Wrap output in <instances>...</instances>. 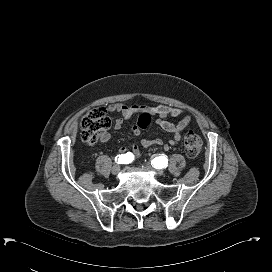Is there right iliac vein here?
Returning a JSON list of instances; mask_svg holds the SVG:
<instances>
[{
  "label": "right iliac vein",
  "instance_id": "1",
  "mask_svg": "<svg viewBox=\"0 0 272 272\" xmlns=\"http://www.w3.org/2000/svg\"><path fill=\"white\" fill-rule=\"evenodd\" d=\"M111 172L113 175H117L120 172V166L118 164L114 165Z\"/></svg>",
  "mask_w": 272,
  "mask_h": 272
}]
</instances>
